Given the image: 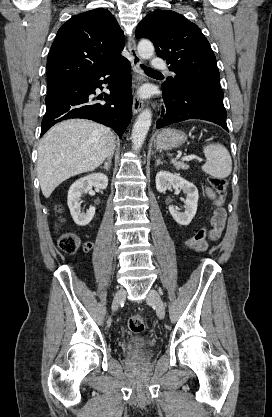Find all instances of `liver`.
Returning <instances> with one entry per match:
<instances>
[{
	"instance_id": "1",
	"label": "liver",
	"mask_w": 272,
	"mask_h": 417,
	"mask_svg": "<svg viewBox=\"0 0 272 417\" xmlns=\"http://www.w3.org/2000/svg\"><path fill=\"white\" fill-rule=\"evenodd\" d=\"M112 140L110 129L89 120L70 119L53 126L38 147L37 175L44 197L70 177L99 167Z\"/></svg>"
}]
</instances>
